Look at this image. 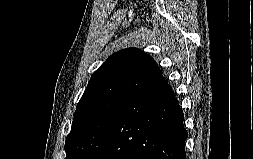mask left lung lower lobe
Here are the masks:
<instances>
[{"instance_id":"1","label":"left lung lower lobe","mask_w":253,"mask_h":159,"mask_svg":"<svg viewBox=\"0 0 253 159\" xmlns=\"http://www.w3.org/2000/svg\"><path fill=\"white\" fill-rule=\"evenodd\" d=\"M183 121L172 88L161 75L120 112L92 159H185Z\"/></svg>"}]
</instances>
